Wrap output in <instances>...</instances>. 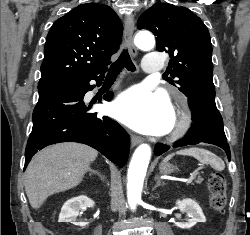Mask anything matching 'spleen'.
<instances>
[{
    "instance_id": "spleen-1",
    "label": "spleen",
    "mask_w": 250,
    "mask_h": 235,
    "mask_svg": "<svg viewBox=\"0 0 250 235\" xmlns=\"http://www.w3.org/2000/svg\"><path fill=\"white\" fill-rule=\"evenodd\" d=\"M178 155L193 156L203 164H210L215 170L222 171L225 168V164L222 159L217 157L212 152L201 148H189L176 152ZM174 154H169L165 157L164 161L170 160Z\"/></svg>"
}]
</instances>
